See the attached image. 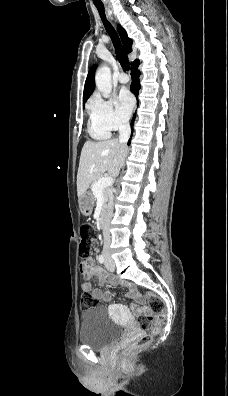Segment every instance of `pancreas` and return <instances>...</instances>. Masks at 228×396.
I'll return each instance as SVG.
<instances>
[{"instance_id": "obj_1", "label": "pancreas", "mask_w": 228, "mask_h": 396, "mask_svg": "<svg viewBox=\"0 0 228 396\" xmlns=\"http://www.w3.org/2000/svg\"><path fill=\"white\" fill-rule=\"evenodd\" d=\"M98 180H99V179L94 180V181L92 182V184H91V190H92V191H93V188H94V186H95V184L97 183ZM93 194H94V192H93ZM102 194H103V197H104V200H105V203H104V205H103V208H105V207H106V201L108 200V197H109V195L111 194V188H110V187H105V188H103Z\"/></svg>"}]
</instances>
